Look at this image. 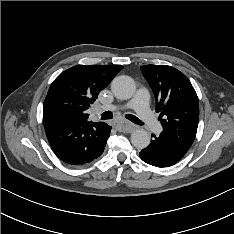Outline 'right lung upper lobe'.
Segmentation results:
<instances>
[{
  "label": "right lung upper lobe",
  "instance_id": "right-lung-upper-lobe-1",
  "mask_svg": "<svg viewBox=\"0 0 234 234\" xmlns=\"http://www.w3.org/2000/svg\"><path fill=\"white\" fill-rule=\"evenodd\" d=\"M122 68L120 65H77L62 72L51 84L43 104L45 129L87 121L86 110Z\"/></svg>",
  "mask_w": 234,
  "mask_h": 234
}]
</instances>
